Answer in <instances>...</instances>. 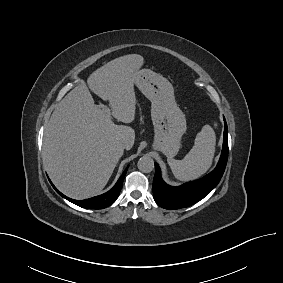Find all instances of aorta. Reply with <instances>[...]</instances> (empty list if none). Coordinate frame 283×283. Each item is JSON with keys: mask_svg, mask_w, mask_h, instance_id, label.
Segmentation results:
<instances>
[{"mask_svg": "<svg viewBox=\"0 0 283 283\" xmlns=\"http://www.w3.org/2000/svg\"><path fill=\"white\" fill-rule=\"evenodd\" d=\"M138 169L144 173H149L154 169V161L150 156H143L138 161Z\"/></svg>", "mask_w": 283, "mask_h": 283, "instance_id": "obj_1", "label": "aorta"}]
</instances>
